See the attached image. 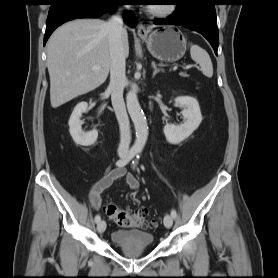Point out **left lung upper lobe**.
<instances>
[{
	"label": "left lung upper lobe",
	"mask_w": 278,
	"mask_h": 278,
	"mask_svg": "<svg viewBox=\"0 0 278 278\" xmlns=\"http://www.w3.org/2000/svg\"><path fill=\"white\" fill-rule=\"evenodd\" d=\"M174 1H175V3H176V2H181V1H183V0H174Z\"/></svg>",
	"instance_id": "1"
}]
</instances>
